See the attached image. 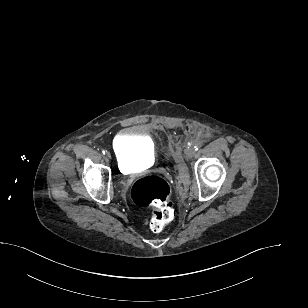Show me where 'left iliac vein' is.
<instances>
[{"mask_svg":"<svg viewBox=\"0 0 308 308\" xmlns=\"http://www.w3.org/2000/svg\"><path fill=\"white\" fill-rule=\"evenodd\" d=\"M185 155L188 157V158H192L194 155H195V149L193 147H188L186 150H185Z\"/></svg>","mask_w":308,"mask_h":308,"instance_id":"obj_1","label":"left iliac vein"}]
</instances>
